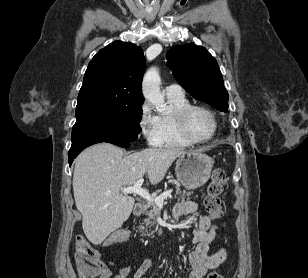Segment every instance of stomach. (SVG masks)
Listing matches in <instances>:
<instances>
[{
    "mask_svg": "<svg viewBox=\"0 0 308 278\" xmlns=\"http://www.w3.org/2000/svg\"><path fill=\"white\" fill-rule=\"evenodd\" d=\"M212 167L213 160L208 155L190 151L178 158L175 173L186 189H197L209 180Z\"/></svg>",
    "mask_w": 308,
    "mask_h": 278,
    "instance_id": "stomach-1",
    "label": "stomach"
}]
</instances>
